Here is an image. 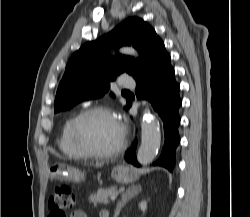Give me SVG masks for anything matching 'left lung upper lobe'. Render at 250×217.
<instances>
[{
    "mask_svg": "<svg viewBox=\"0 0 250 217\" xmlns=\"http://www.w3.org/2000/svg\"><path fill=\"white\" fill-rule=\"evenodd\" d=\"M161 41L148 23L130 17L110 33L85 43L68 61L57 89L54 112L69 110L81 101L102 97L108 92L110 82L123 72L134 78L150 63ZM123 45H133L140 59L124 55L113 58L109 55L110 47Z\"/></svg>",
    "mask_w": 250,
    "mask_h": 217,
    "instance_id": "5c2ea615",
    "label": "left lung upper lobe"
}]
</instances>
